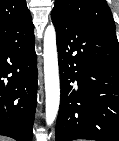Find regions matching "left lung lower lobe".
Listing matches in <instances>:
<instances>
[{
	"instance_id": "left-lung-lower-lobe-1",
	"label": "left lung lower lobe",
	"mask_w": 119,
	"mask_h": 141,
	"mask_svg": "<svg viewBox=\"0 0 119 141\" xmlns=\"http://www.w3.org/2000/svg\"><path fill=\"white\" fill-rule=\"evenodd\" d=\"M61 98L56 141H119V43L116 35L52 17Z\"/></svg>"
}]
</instances>
